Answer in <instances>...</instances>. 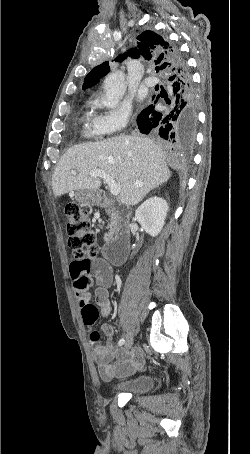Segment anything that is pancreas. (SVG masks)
<instances>
[{
    "instance_id": "1",
    "label": "pancreas",
    "mask_w": 250,
    "mask_h": 454,
    "mask_svg": "<svg viewBox=\"0 0 250 454\" xmlns=\"http://www.w3.org/2000/svg\"><path fill=\"white\" fill-rule=\"evenodd\" d=\"M110 220H111V221H110V223H109V225H108V227H107V229H109V231H111V228H112V226L114 225V221L112 220V216H110ZM109 237H110V234H108V233H106V234L104 235V239H108Z\"/></svg>"
}]
</instances>
